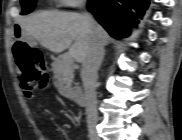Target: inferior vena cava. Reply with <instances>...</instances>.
I'll list each match as a JSON object with an SVG mask.
<instances>
[{
    "mask_svg": "<svg viewBox=\"0 0 182 140\" xmlns=\"http://www.w3.org/2000/svg\"><path fill=\"white\" fill-rule=\"evenodd\" d=\"M83 18L85 24L91 30V47L87 57L82 62L81 78L84 87L87 124L89 133L92 136L95 132V126L98 119L95 87L98 79V69L103 59L104 48L93 33L94 20L92 17L88 13H83Z\"/></svg>",
    "mask_w": 182,
    "mask_h": 140,
    "instance_id": "1",
    "label": "inferior vena cava"
}]
</instances>
